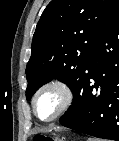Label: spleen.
<instances>
[{"label": "spleen", "mask_w": 119, "mask_h": 141, "mask_svg": "<svg viewBox=\"0 0 119 141\" xmlns=\"http://www.w3.org/2000/svg\"><path fill=\"white\" fill-rule=\"evenodd\" d=\"M88 141H94L93 139H88Z\"/></svg>", "instance_id": "1"}]
</instances>
